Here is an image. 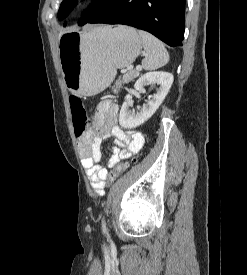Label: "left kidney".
I'll list each match as a JSON object with an SVG mask.
<instances>
[{
  "label": "left kidney",
  "mask_w": 247,
  "mask_h": 275,
  "mask_svg": "<svg viewBox=\"0 0 247 275\" xmlns=\"http://www.w3.org/2000/svg\"><path fill=\"white\" fill-rule=\"evenodd\" d=\"M173 83V75L164 71H153L142 75L135 83L136 91L143 89L145 85L157 84L159 87L153 98L138 112L131 111L133 106L132 95L125 96L119 114V124L125 129H132L140 126L147 121L159 108L168 94Z\"/></svg>",
  "instance_id": "obj_1"
}]
</instances>
